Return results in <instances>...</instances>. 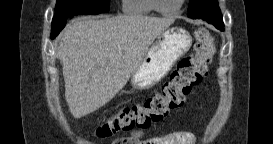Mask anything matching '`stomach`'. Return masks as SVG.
Masks as SVG:
<instances>
[{
	"instance_id": "obj_1",
	"label": "stomach",
	"mask_w": 273,
	"mask_h": 144,
	"mask_svg": "<svg viewBox=\"0 0 273 144\" xmlns=\"http://www.w3.org/2000/svg\"><path fill=\"white\" fill-rule=\"evenodd\" d=\"M192 37L181 27L164 30L131 75L134 89H149L161 81L191 47Z\"/></svg>"
}]
</instances>
